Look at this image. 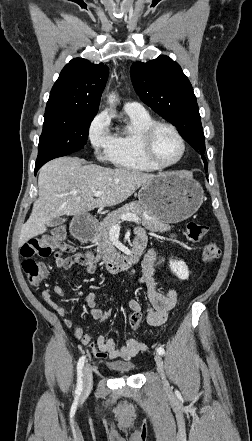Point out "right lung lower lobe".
<instances>
[{
    "label": "right lung lower lobe",
    "instance_id": "obj_1",
    "mask_svg": "<svg viewBox=\"0 0 252 441\" xmlns=\"http://www.w3.org/2000/svg\"><path fill=\"white\" fill-rule=\"evenodd\" d=\"M42 165H43V164H38V165L35 166V174L37 173V171L40 169V167H41Z\"/></svg>",
    "mask_w": 252,
    "mask_h": 441
}]
</instances>
